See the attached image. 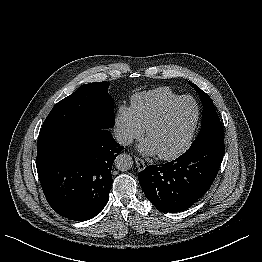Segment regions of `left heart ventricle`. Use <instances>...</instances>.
Segmentation results:
<instances>
[{
  "label": "left heart ventricle",
  "mask_w": 262,
  "mask_h": 262,
  "mask_svg": "<svg viewBox=\"0 0 262 262\" xmlns=\"http://www.w3.org/2000/svg\"><path fill=\"white\" fill-rule=\"evenodd\" d=\"M196 115L195 104L185 100L176 106L166 120L149 135L158 153L168 154L178 149L186 140Z\"/></svg>",
  "instance_id": "1"
}]
</instances>
